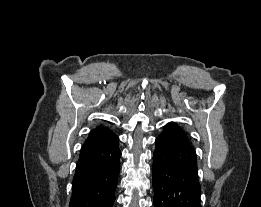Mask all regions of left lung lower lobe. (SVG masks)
Masks as SVG:
<instances>
[{"label":"left lung lower lobe","instance_id":"0a47b994","mask_svg":"<svg viewBox=\"0 0 261 207\" xmlns=\"http://www.w3.org/2000/svg\"><path fill=\"white\" fill-rule=\"evenodd\" d=\"M155 144L154 207H201L197 155L186 132L169 122Z\"/></svg>","mask_w":261,"mask_h":207}]
</instances>
